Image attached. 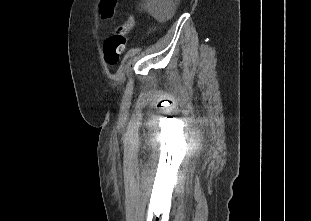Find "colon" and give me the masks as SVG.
Wrapping results in <instances>:
<instances>
[{
    "instance_id": "1",
    "label": "colon",
    "mask_w": 311,
    "mask_h": 221,
    "mask_svg": "<svg viewBox=\"0 0 311 221\" xmlns=\"http://www.w3.org/2000/svg\"><path fill=\"white\" fill-rule=\"evenodd\" d=\"M118 0H104L103 10H99L98 15L103 20H108L113 16L114 9H116ZM134 25V19L132 17L126 19L121 23L116 31H130ZM127 36H109L104 42V58L106 62L113 66L117 63L121 53L125 47Z\"/></svg>"
}]
</instances>
